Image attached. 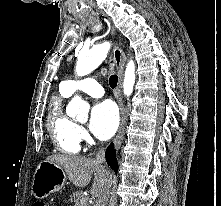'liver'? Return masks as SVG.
<instances>
[{"instance_id": "obj_1", "label": "liver", "mask_w": 221, "mask_h": 206, "mask_svg": "<svg viewBox=\"0 0 221 206\" xmlns=\"http://www.w3.org/2000/svg\"><path fill=\"white\" fill-rule=\"evenodd\" d=\"M46 160L60 166L69 180L78 187L88 185L94 174L91 194L99 197L102 193L107 176L104 168L96 159L58 154L51 155Z\"/></svg>"}]
</instances>
